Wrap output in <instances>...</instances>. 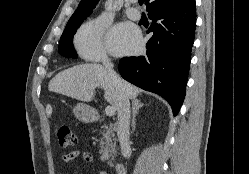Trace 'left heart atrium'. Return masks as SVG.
I'll return each instance as SVG.
<instances>
[{"mask_svg":"<svg viewBox=\"0 0 249 174\" xmlns=\"http://www.w3.org/2000/svg\"><path fill=\"white\" fill-rule=\"evenodd\" d=\"M107 45L116 55L133 53L140 47V35L132 27L124 24L118 25L109 31Z\"/></svg>","mask_w":249,"mask_h":174,"instance_id":"39dd6f15","label":"left heart atrium"}]
</instances>
